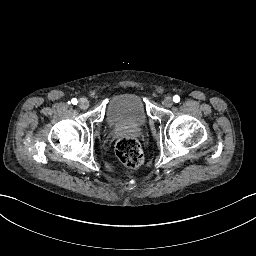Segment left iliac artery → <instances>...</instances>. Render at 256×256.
Masks as SVG:
<instances>
[{
    "label": "left iliac artery",
    "mask_w": 256,
    "mask_h": 256,
    "mask_svg": "<svg viewBox=\"0 0 256 256\" xmlns=\"http://www.w3.org/2000/svg\"><path fill=\"white\" fill-rule=\"evenodd\" d=\"M173 101H174L175 103H178V102L180 101V97H179L178 95H175V96L173 97Z\"/></svg>",
    "instance_id": "44dca946"
}]
</instances>
